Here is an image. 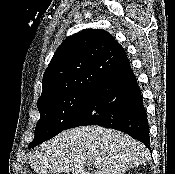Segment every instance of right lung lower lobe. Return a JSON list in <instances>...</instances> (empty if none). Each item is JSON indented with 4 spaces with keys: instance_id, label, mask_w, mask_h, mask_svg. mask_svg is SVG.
I'll return each mask as SVG.
<instances>
[{
    "instance_id": "1",
    "label": "right lung lower lobe",
    "mask_w": 175,
    "mask_h": 174,
    "mask_svg": "<svg viewBox=\"0 0 175 174\" xmlns=\"http://www.w3.org/2000/svg\"><path fill=\"white\" fill-rule=\"evenodd\" d=\"M83 125L122 131L150 149L147 114L129 63L108 74L92 88L67 129Z\"/></svg>"
}]
</instances>
